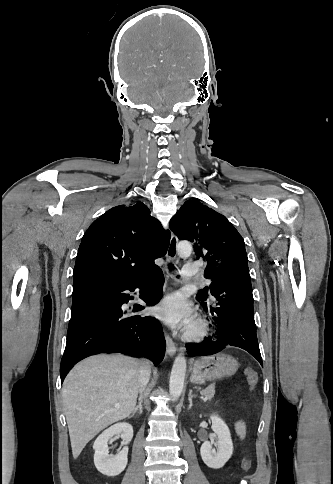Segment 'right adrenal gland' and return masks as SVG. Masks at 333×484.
<instances>
[{"label":"right adrenal gland","mask_w":333,"mask_h":484,"mask_svg":"<svg viewBox=\"0 0 333 484\" xmlns=\"http://www.w3.org/2000/svg\"><path fill=\"white\" fill-rule=\"evenodd\" d=\"M142 411H143V396L141 395L139 397V402H138V405L134 408L132 414L129 416V418H132L135 413H139V414H142Z\"/></svg>","instance_id":"1"}]
</instances>
